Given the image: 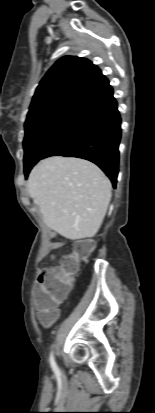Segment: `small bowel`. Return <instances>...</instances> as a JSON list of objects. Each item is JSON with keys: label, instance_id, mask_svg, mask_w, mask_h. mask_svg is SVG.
<instances>
[{"label": "small bowel", "instance_id": "c3829d8e", "mask_svg": "<svg viewBox=\"0 0 155 413\" xmlns=\"http://www.w3.org/2000/svg\"><path fill=\"white\" fill-rule=\"evenodd\" d=\"M44 291V286L39 283L36 287V302H39V299ZM57 316L56 311H43L41 312L40 318L44 324H49L55 320Z\"/></svg>", "mask_w": 155, "mask_h": 413}]
</instances>
